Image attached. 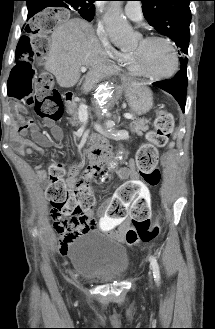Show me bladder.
Wrapping results in <instances>:
<instances>
[{
    "mask_svg": "<svg viewBox=\"0 0 215 329\" xmlns=\"http://www.w3.org/2000/svg\"><path fill=\"white\" fill-rule=\"evenodd\" d=\"M70 255L80 275L101 283L120 281L130 268L127 248L118 239L98 231L78 236L70 246Z\"/></svg>",
    "mask_w": 215,
    "mask_h": 329,
    "instance_id": "bladder-1",
    "label": "bladder"
}]
</instances>
